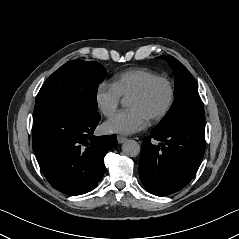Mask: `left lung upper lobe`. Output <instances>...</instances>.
Masks as SVG:
<instances>
[{
	"label": "left lung upper lobe",
	"mask_w": 239,
	"mask_h": 239,
	"mask_svg": "<svg viewBox=\"0 0 239 239\" xmlns=\"http://www.w3.org/2000/svg\"><path fill=\"white\" fill-rule=\"evenodd\" d=\"M168 62L175 75V99L167 114L154 129L166 131L190 119L205 120L204 107L198 94V86L187 68L172 56H159Z\"/></svg>",
	"instance_id": "obj_1"
}]
</instances>
